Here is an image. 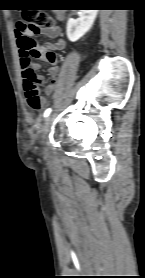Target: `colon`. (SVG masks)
Returning a JSON list of instances; mask_svg holds the SVG:
<instances>
[{"label": "colon", "mask_w": 145, "mask_h": 278, "mask_svg": "<svg viewBox=\"0 0 145 278\" xmlns=\"http://www.w3.org/2000/svg\"><path fill=\"white\" fill-rule=\"evenodd\" d=\"M53 28V20L42 11L36 9H28L22 15V19L16 24L15 32L21 33L27 29L32 31L50 30ZM19 51L26 52L27 56L33 57L42 53L41 47L34 38H25L21 41V49ZM44 56L49 62L56 60L55 51L52 49L44 51ZM23 86L27 99V104L31 110L39 111L43 108L44 102L39 92L40 80L35 72L30 68V61L27 68L22 73Z\"/></svg>", "instance_id": "1"}]
</instances>
